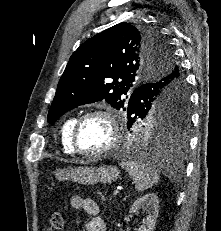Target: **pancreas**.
<instances>
[{
  "label": "pancreas",
  "instance_id": "obj_1",
  "mask_svg": "<svg viewBox=\"0 0 221 231\" xmlns=\"http://www.w3.org/2000/svg\"><path fill=\"white\" fill-rule=\"evenodd\" d=\"M100 197H101L102 201L111 200V199H108L106 197V195H104V194H100Z\"/></svg>",
  "mask_w": 221,
  "mask_h": 231
}]
</instances>
